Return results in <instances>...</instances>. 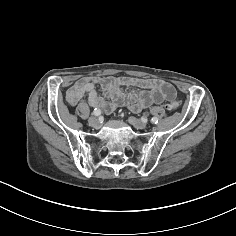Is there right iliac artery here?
<instances>
[{"mask_svg":"<svg viewBox=\"0 0 236 236\" xmlns=\"http://www.w3.org/2000/svg\"><path fill=\"white\" fill-rule=\"evenodd\" d=\"M101 114V111L99 110V109H94V111H93V115H95V116H99Z\"/></svg>","mask_w":236,"mask_h":236,"instance_id":"82829eb1","label":"right iliac artery"}]
</instances>
